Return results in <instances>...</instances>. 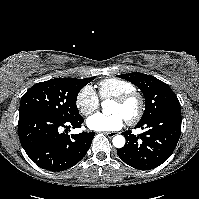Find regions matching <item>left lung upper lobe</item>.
Masks as SVG:
<instances>
[{"mask_svg":"<svg viewBox=\"0 0 199 199\" xmlns=\"http://www.w3.org/2000/svg\"><path fill=\"white\" fill-rule=\"evenodd\" d=\"M136 85L145 97V111L139 122H144L153 116L171 109L180 108V103L172 89L159 79L143 73H128L118 75Z\"/></svg>","mask_w":199,"mask_h":199,"instance_id":"left-lung-upper-lobe-1","label":"left lung upper lobe"}]
</instances>
